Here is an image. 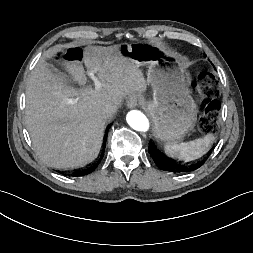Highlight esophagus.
<instances>
[{
    "label": "esophagus",
    "instance_id": "obj_1",
    "mask_svg": "<svg viewBox=\"0 0 253 253\" xmlns=\"http://www.w3.org/2000/svg\"><path fill=\"white\" fill-rule=\"evenodd\" d=\"M140 102L137 95H131L127 100V106L130 109L136 108Z\"/></svg>",
    "mask_w": 253,
    "mask_h": 253
}]
</instances>
